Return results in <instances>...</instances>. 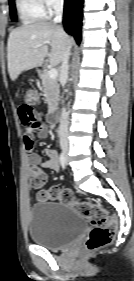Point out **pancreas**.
<instances>
[{
    "instance_id": "obj_1",
    "label": "pancreas",
    "mask_w": 134,
    "mask_h": 281,
    "mask_svg": "<svg viewBox=\"0 0 134 281\" xmlns=\"http://www.w3.org/2000/svg\"><path fill=\"white\" fill-rule=\"evenodd\" d=\"M42 80V89L48 104V111L52 112L56 110L59 100V85L56 79H51L48 75V71L44 70L40 75Z\"/></svg>"
}]
</instances>
